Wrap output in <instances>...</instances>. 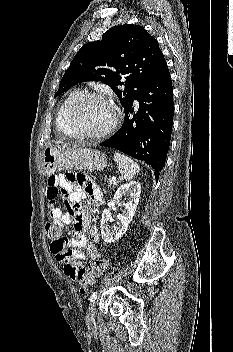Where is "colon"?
<instances>
[{
    "label": "colon",
    "instance_id": "1",
    "mask_svg": "<svg viewBox=\"0 0 233 352\" xmlns=\"http://www.w3.org/2000/svg\"><path fill=\"white\" fill-rule=\"evenodd\" d=\"M46 234L53 241L58 243L61 247H64L67 242V237L64 234V230L54 223H47ZM108 261L106 259L100 258L96 259L91 263L87 269H81L76 275V279L80 286V291L82 293L91 286L98 277L107 269Z\"/></svg>",
    "mask_w": 233,
    "mask_h": 352
}]
</instances>
